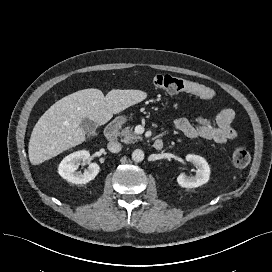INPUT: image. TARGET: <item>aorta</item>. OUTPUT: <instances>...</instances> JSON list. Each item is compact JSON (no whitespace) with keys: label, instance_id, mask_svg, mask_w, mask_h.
<instances>
[{"label":"aorta","instance_id":"aorta-1","mask_svg":"<svg viewBox=\"0 0 272 272\" xmlns=\"http://www.w3.org/2000/svg\"><path fill=\"white\" fill-rule=\"evenodd\" d=\"M144 159V152L141 149H136L132 152V160L135 162H142Z\"/></svg>","mask_w":272,"mask_h":272}]
</instances>
